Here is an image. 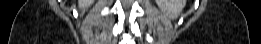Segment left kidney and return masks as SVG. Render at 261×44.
Returning a JSON list of instances; mask_svg holds the SVG:
<instances>
[{
  "label": "left kidney",
  "mask_w": 261,
  "mask_h": 44,
  "mask_svg": "<svg viewBox=\"0 0 261 44\" xmlns=\"http://www.w3.org/2000/svg\"><path fill=\"white\" fill-rule=\"evenodd\" d=\"M161 11L170 19H176L182 12L186 0H155Z\"/></svg>",
  "instance_id": "left-kidney-1"
}]
</instances>
